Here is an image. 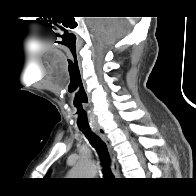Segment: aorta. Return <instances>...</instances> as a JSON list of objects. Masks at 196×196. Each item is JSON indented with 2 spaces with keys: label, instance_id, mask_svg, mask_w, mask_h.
<instances>
[{
  "label": "aorta",
  "instance_id": "obj_1",
  "mask_svg": "<svg viewBox=\"0 0 196 196\" xmlns=\"http://www.w3.org/2000/svg\"><path fill=\"white\" fill-rule=\"evenodd\" d=\"M96 171V167L93 162L81 160L77 165L70 171V178H88L93 176Z\"/></svg>",
  "mask_w": 196,
  "mask_h": 196
}]
</instances>
